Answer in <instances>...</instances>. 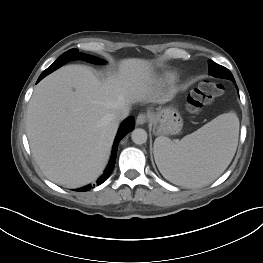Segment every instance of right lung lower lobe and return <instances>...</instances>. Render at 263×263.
<instances>
[{"instance_id":"1","label":"right lung lower lobe","mask_w":263,"mask_h":263,"mask_svg":"<svg viewBox=\"0 0 263 263\" xmlns=\"http://www.w3.org/2000/svg\"><path fill=\"white\" fill-rule=\"evenodd\" d=\"M66 63V62H65ZM64 64V61H56L54 62L50 67H48L45 71H43V73L40 75L37 83L43 79L46 75L50 74L51 72H53L54 70L58 69L59 67H61ZM135 127V120L133 117H129L127 118L121 125L115 142H114V146H113V151H112V156L110 159V162L104 172V174L98 179L97 184L100 185L102 184L112 173L114 166H115V161H116V155H117V146L118 143L120 142V140L130 131H132ZM91 189V185H87L85 187L76 189V191H88Z\"/></svg>"}]
</instances>
